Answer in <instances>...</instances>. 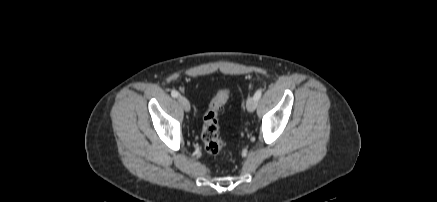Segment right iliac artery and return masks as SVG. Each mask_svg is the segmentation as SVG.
Returning a JSON list of instances; mask_svg holds the SVG:
<instances>
[{"mask_svg":"<svg viewBox=\"0 0 437 202\" xmlns=\"http://www.w3.org/2000/svg\"><path fill=\"white\" fill-rule=\"evenodd\" d=\"M171 95H172V97L177 98L179 96V93L177 91L173 90L171 92Z\"/></svg>","mask_w":437,"mask_h":202,"instance_id":"1","label":"right iliac artery"}]
</instances>
